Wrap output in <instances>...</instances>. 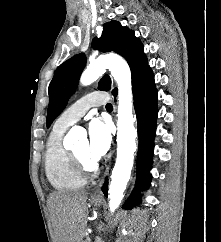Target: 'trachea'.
Returning a JSON list of instances; mask_svg holds the SVG:
<instances>
[{
    "instance_id": "1",
    "label": "trachea",
    "mask_w": 221,
    "mask_h": 242,
    "mask_svg": "<svg viewBox=\"0 0 221 242\" xmlns=\"http://www.w3.org/2000/svg\"><path fill=\"white\" fill-rule=\"evenodd\" d=\"M106 109H107V110H112V109H113L112 104H111V103H107V104H106Z\"/></svg>"
}]
</instances>
